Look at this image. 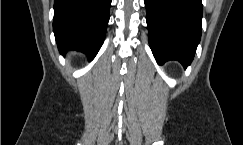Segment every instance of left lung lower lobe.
<instances>
[{
	"label": "left lung lower lobe",
	"mask_w": 243,
	"mask_h": 145,
	"mask_svg": "<svg viewBox=\"0 0 243 145\" xmlns=\"http://www.w3.org/2000/svg\"><path fill=\"white\" fill-rule=\"evenodd\" d=\"M150 48L158 64L190 65L201 38V0H144Z\"/></svg>",
	"instance_id": "left-lung-lower-lobe-1"
}]
</instances>
